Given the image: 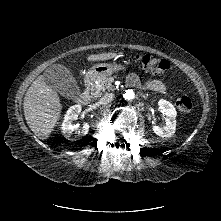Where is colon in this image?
Listing matches in <instances>:
<instances>
[{
    "instance_id": "obj_1",
    "label": "colon",
    "mask_w": 221,
    "mask_h": 221,
    "mask_svg": "<svg viewBox=\"0 0 221 221\" xmlns=\"http://www.w3.org/2000/svg\"><path fill=\"white\" fill-rule=\"evenodd\" d=\"M130 62L134 66L142 64L145 69L156 74H166L172 69L171 64L165 59H158L149 55L141 56L139 53H134L130 57ZM176 105L182 114H188L192 109L190 98L184 94L178 96Z\"/></svg>"
}]
</instances>
